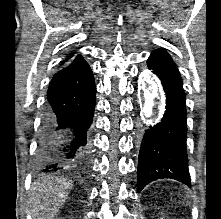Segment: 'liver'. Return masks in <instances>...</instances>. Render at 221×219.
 Listing matches in <instances>:
<instances>
[{
  "label": "liver",
  "mask_w": 221,
  "mask_h": 219,
  "mask_svg": "<svg viewBox=\"0 0 221 219\" xmlns=\"http://www.w3.org/2000/svg\"><path fill=\"white\" fill-rule=\"evenodd\" d=\"M73 181H42L32 188V197L28 204L33 219H54L65 202Z\"/></svg>",
  "instance_id": "1"
}]
</instances>
